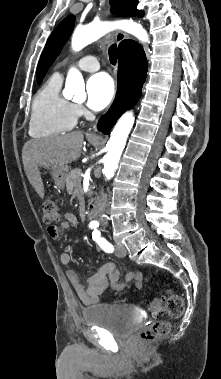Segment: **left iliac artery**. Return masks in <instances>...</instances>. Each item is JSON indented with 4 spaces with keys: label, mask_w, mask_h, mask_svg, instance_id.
Listing matches in <instances>:
<instances>
[{
    "label": "left iliac artery",
    "mask_w": 221,
    "mask_h": 379,
    "mask_svg": "<svg viewBox=\"0 0 221 379\" xmlns=\"http://www.w3.org/2000/svg\"><path fill=\"white\" fill-rule=\"evenodd\" d=\"M92 238L95 240L98 245L107 253H112L114 251L113 245L108 242L104 237H101V233L99 230L95 229L92 233Z\"/></svg>",
    "instance_id": "obj_1"
}]
</instances>
